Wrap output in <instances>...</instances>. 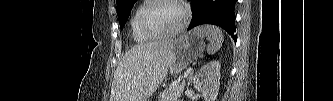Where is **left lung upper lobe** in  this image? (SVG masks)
I'll return each mask as SVG.
<instances>
[{
    "label": "left lung upper lobe",
    "mask_w": 333,
    "mask_h": 101,
    "mask_svg": "<svg viewBox=\"0 0 333 101\" xmlns=\"http://www.w3.org/2000/svg\"><path fill=\"white\" fill-rule=\"evenodd\" d=\"M136 1L137 0H116L117 15L121 29L124 27V24L127 21L131 9Z\"/></svg>",
    "instance_id": "left-lung-upper-lobe-1"
}]
</instances>
